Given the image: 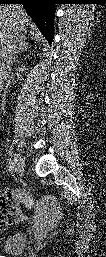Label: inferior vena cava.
I'll return each instance as SVG.
<instances>
[{"label":"inferior vena cava","instance_id":"obj_1","mask_svg":"<svg viewBox=\"0 0 106 257\" xmlns=\"http://www.w3.org/2000/svg\"><path fill=\"white\" fill-rule=\"evenodd\" d=\"M20 40L21 34L15 29L9 34L4 45L1 46L0 73L5 79H8L10 76L11 65L13 63L14 56L17 51V45L20 43Z\"/></svg>","mask_w":106,"mask_h":257}]
</instances>
